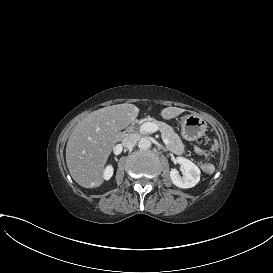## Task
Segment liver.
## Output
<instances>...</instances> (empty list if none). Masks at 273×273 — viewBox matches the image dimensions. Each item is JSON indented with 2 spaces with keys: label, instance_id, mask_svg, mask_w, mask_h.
Listing matches in <instances>:
<instances>
[{
  "label": "liver",
  "instance_id": "6515ba94",
  "mask_svg": "<svg viewBox=\"0 0 273 273\" xmlns=\"http://www.w3.org/2000/svg\"><path fill=\"white\" fill-rule=\"evenodd\" d=\"M185 109L167 107L161 116L169 120ZM133 104H118L89 113L71 133L66 146V163L72 178L82 187H99L103 182L104 166L115 143L123 139L120 130L138 116Z\"/></svg>",
  "mask_w": 273,
  "mask_h": 273
}]
</instances>
